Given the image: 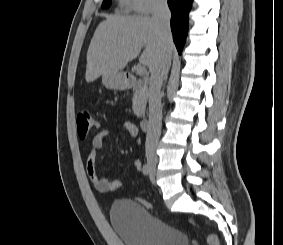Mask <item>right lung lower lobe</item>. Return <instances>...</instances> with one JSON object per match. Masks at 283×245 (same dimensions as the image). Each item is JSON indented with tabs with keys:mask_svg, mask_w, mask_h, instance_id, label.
<instances>
[{
	"mask_svg": "<svg viewBox=\"0 0 283 245\" xmlns=\"http://www.w3.org/2000/svg\"><path fill=\"white\" fill-rule=\"evenodd\" d=\"M193 0H168V5L171 10V30L173 40L181 54L185 44L188 31V13L191 9Z\"/></svg>",
	"mask_w": 283,
	"mask_h": 245,
	"instance_id": "right-lung-lower-lobe-1",
	"label": "right lung lower lobe"
}]
</instances>
